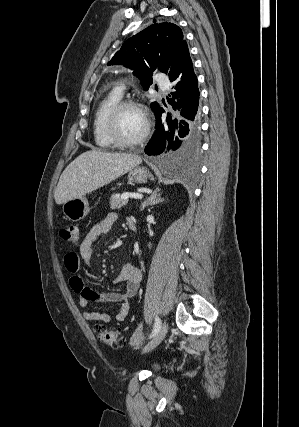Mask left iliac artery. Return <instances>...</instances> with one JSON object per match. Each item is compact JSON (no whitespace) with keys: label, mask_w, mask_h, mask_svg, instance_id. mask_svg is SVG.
I'll return each mask as SVG.
<instances>
[{"label":"left iliac artery","mask_w":299,"mask_h":427,"mask_svg":"<svg viewBox=\"0 0 299 427\" xmlns=\"http://www.w3.org/2000/svg\"><path fill=\"white\" fill-rule=\"evenodd\" d=\"M160 326H161V320H160V318H159V317H156V318H155L154 328H153L152 334L150 335V338H151V337H153L154 335H156V333H157V332L159 331V329H160Z\"/></svg>","instance_id":"1"}]
</instances>
